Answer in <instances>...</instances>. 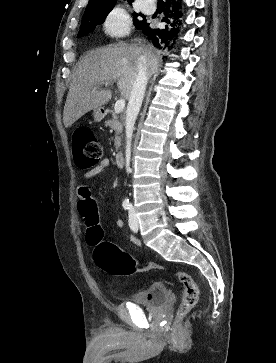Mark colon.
I'll use <instances>...</instances> for the list:
<instances>
[{
	"label": "colon",
	"mask_w": 276,
	"mask_h": 363,
	"mask_svg": "<svg viewBox=\"0 0 276 363\" xmlns=\"http://www.w3.org/2000/svg\"><path fill=\"white\" fill-rule=\"evenodd\" d=\"M73 153L77 164L81 168L96 165L102 159V147L93 132L88 128H79L73 135ZM87 243L94 247L93 259L104 271L124 276L132 274L137 268L157 269L164 268L156 264H148L138 260L114 243L103 239V230L98 223V216L94 215L86 237ZM178 282L183 289V298L178 309V318H183L190 313L199 299V287L193 277L182 271L176 272Z\"/></svg>",
	"instance_id": "1"
}]
</instances>
